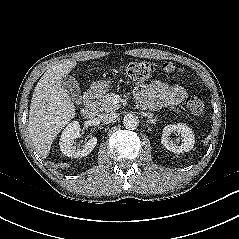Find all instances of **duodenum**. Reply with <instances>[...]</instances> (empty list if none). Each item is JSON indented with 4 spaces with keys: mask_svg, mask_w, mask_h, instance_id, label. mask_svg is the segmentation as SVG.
Returning <instances> with one entry per match:
<instances>
[{
    "mask_svg": "<svg viewBox=\"0 0 239 239\" xmlns=\"http://www.w3.org/2000/svg\"><path fill=\"white\" fill-rule=\"evenodd\" d=\"M97 112V99L93 92H88L84 98V105L81 109V114L85 119H92Z\"/></svg>",
    "mask_w": 239,
    "mask_h": 239,
    "instance_id": "1",
    "label": "duodenum"
}]
</instances>
